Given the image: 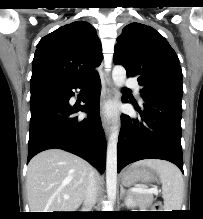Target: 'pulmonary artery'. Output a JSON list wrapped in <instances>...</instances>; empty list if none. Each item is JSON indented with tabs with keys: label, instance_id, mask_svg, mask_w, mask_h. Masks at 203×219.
<instances>
[{
	"label": "pulmonary artery",
	"instance_id": "obj_1",
	"mask_svg": "<svg viewBox=\"0 0 203 219\" xmlns=\"http://www.w3.org/2000/svg\"><path fill=\"white\" fill-rule=\"evenodd\" d=\"M125 84H126L127 87L134 89L136 91V93L139 95L140 86H139L138 82L135 79L128 78L125 81Z\"/></svg>",
	"mask_w": 203,
	"mask_h": 219
}]
</instances>
